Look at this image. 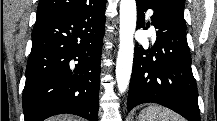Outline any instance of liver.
<instances>
[{
  "label": "liver",
  "instance_id": "obj_1",
  "mask_svg": "<svg viewBox=\"0 0 217 121\" xmlns=\"http://www.w3.org/2000/svg\"><path fill=\"white\" fill-rule=\"evenodd\" d=\"M48 121H75L74 118L67 115H60L56 117L49 118Z\"/></svg>",
  "mask_w": 217,
  "mask_h": 121
}]
</instances>
